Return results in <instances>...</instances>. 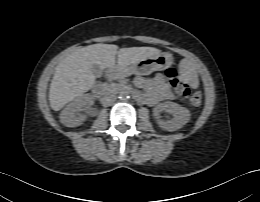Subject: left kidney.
<instances>
[{
	"mask_svg": "<svg viewBox=\"0 0 260 202\" xmlns=\"http://www.w3.org/2000/svg\"><path fill=\"white\" fill-rule=\"evenodd\" d=\"M162 111L169 112L173 115L171 120H159ZM153 114L158 119L159 126L167 131H175L182 128L190 120V111L174 102H163L153 109Z\"/></svg>",
	"mask_w": 260,
	"mask_h": 202,
	"instance_id": "obj_1",
	"label": "left kidney"
}]
</instances>
